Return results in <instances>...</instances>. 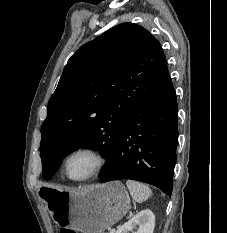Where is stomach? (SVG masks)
Masks as SVG:
<instances>
[{
  "mask_svg": "<svg viewBox=\"0 0 227 233\" xmlns=\"http://www.w3.org/2000/svg\"><path fill=\"white\" fill-rule=\"evenodd\" d=\"M45 200L55 223L82 233H103L121 220L130 208V197L121 182L95 185L80 191L46 186Z\"/></svg>",
  "mask_w": 227,
  "mask_h": 233,
  "instance_id": "obj_1",
  "label": "stomach"
}]
</instances>
